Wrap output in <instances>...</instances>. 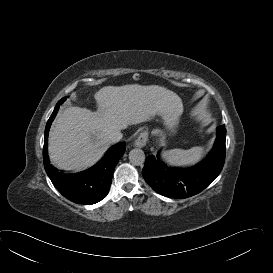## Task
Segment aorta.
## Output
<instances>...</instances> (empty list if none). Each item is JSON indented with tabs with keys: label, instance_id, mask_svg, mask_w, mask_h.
<instances>
[{
	"label": "aorta",
	"instance_id": "762f6f07",
	"mask_svg": "<svg viewBox=\"0 0 273 273\" xmlns=\"http://www.w3.org/2000/svg\"><path fill=\"white\" fill-rule=\"evenodd\" d=\"M129 161L136 166H142L145 162V154L141 149H133L129 153Z\"/></svg>",
	"mask_w": 273,
	"mask_h": 273
}]
</instances>
